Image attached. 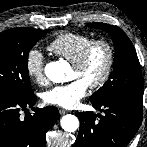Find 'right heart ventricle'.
<instances>
[{
	"label": "right heart ventricle",
	"instance_id": "1",
	"mask_svg": "<svg viewBox=\"0 0 147 147\" xmlns=\"http://www.w3.org/2000/svg\"><path fill=\"white\" fill-rule=\"evenodd\" d=\"M93 40V37L86 34L63 33L49 43L48 50L56 56L73 63Z\"/></svg>",
	"mask_w": 147,
	"mask_h": 147
}]
</instances>
